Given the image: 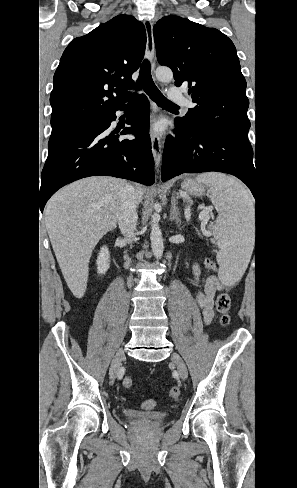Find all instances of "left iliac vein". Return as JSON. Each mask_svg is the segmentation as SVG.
<instances>
[{"label": "left iliac vein", "mask_w": 297, "mask_h": 488, "mask_svg": "<svg viewBox=\"0 0 297 488\" xmlns=\"http://www.w3.org/2000/svg\"><path fill=\"white\" fill-rule=\"evenodd\" d=\"M171 360L176 365L177 371L181 379L186 380L188 376V371L182 358L177 353H173L171 356Z\"/></svg>", "instance_id": "1"}]
</instances>
